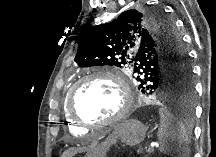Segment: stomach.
Masks as SVG:
<instances>
[{
  "instance_id": "stomach-1",
  "label": "stomach",
  "mask_w": 216,
  "mask_h": 157,
  "mask_svg": "<svg viewBox=\"0 0 216 157\" xmlns=\"http://www.w3.org/2000/svg\"><path fill=\"white\" fill-rule=\"evenodd\" d=\"M146 130L139 121H123L115 126L103 141L92 144L84 157H107V152L118 140L127 145H136L145 138Z\"/></svg>"
}]
</instances>
